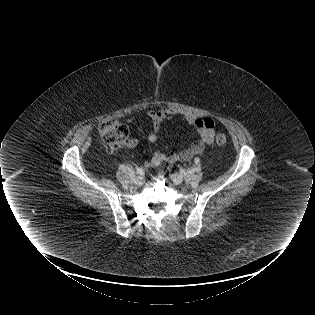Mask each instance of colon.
Listing matches in <instances>:
<instances>
[{"label": "colon", "mask_w": 315, "mask_h": 315, "mask_svg": "<svg viewBox=\"0 0 315 315\" xmlns=\"http://www.w3.org/2000/svg\"><path fill=\"white\" fill-rule=\"evenodd\" d=\"M99 135L101 141L111 150H119L123 148L128 139V128L118 121H109L102 123L99 126ZM215 143L218 146H223L227 143L226 135L219 133L215 137Z\"/></svg>", "instance_id": "obj_1"}]
</instances>
